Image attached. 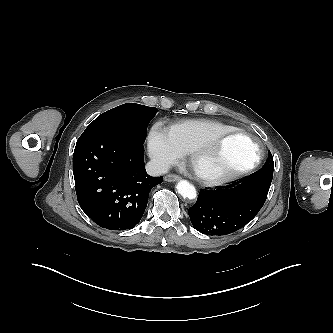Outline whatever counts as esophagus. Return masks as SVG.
<instances>
[{
	"label": "esophagus",
	"mask_w": 333,
	"mask_h": 333,
	"mask_svg": "<svg viewBox=\"0 0 333 333\" xmlns=\"http://www.w3.org/2000/svg\"><path fill=\"white\" fill-rule=\"evenodd\" d=\"M164 180L167 181V182H175V181L180 180V176H178L176 174H167L164 177Z\"/></svg>",
	"instance_id": "obj_1"
}]
</instances>
